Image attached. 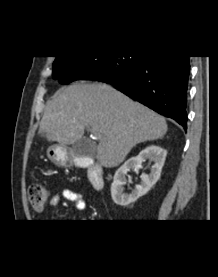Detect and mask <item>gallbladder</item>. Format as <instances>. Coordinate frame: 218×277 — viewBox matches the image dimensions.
<instances>
[{"mask_svg": "<svg viewBox=\"0 0 218 277\" xmlns=\"http://www.w3.org/2000/svg\"><path fill=\"white\" fill-rule=\"evenodd\" d=\"M72 151L77 156L93 155L94 145L88 139H81L73 144Z\"/></svg>", "mask_w": 218, "mask_h": 277, "instance_id": "1", "label": "gallbladder"}]
</instances>
